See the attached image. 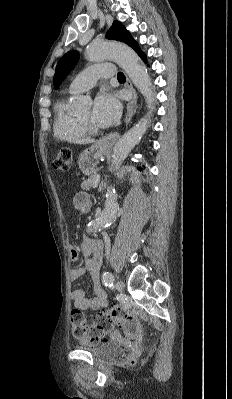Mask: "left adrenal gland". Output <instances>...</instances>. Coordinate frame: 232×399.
<instances>
[{"label": "left adrenal gland", "mask_w": 232, "mask_h": 399, "mask_svg": "<svg viewBox=\"0 0 232 399\" xmlns=\"http://www.w3.org/2000/svg\"><path fill=\"white\" fill-rule=\"evenodd\" d=\"M101 188H104L103 184H101V186H100V190H101Z\"/></svg>", "instance_id": "obj_1"}]
</instances>
